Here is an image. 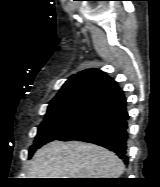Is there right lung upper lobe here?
Segmentation results:
<instances>
[{
	"instance_id": "right-lung-upper-lobe-1",
	"label": "right lung upper lobe",
	"mask_w": 160,
	"mask_h": 187,
	"mask_svg": "<svg viewBox=\"0 0 160 187\" xmlns=\"http://www.w3.org/2000/svg\"><path fill=\"white\" fill-rule=\"evenodd\" d=\"M120 90L117 83L98 69H87L72 75L62 86L48 108L70 103L98 104Z\"/></svg>"
}]
</instances>
